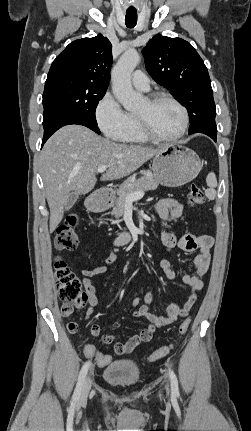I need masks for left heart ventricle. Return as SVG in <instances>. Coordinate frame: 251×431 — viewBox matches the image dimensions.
I'll list each match as a JSON object with an SVG mask.
<instances>
[{"mask_svg":"<svg viewBox=\"0 0 251 431\" xmlns=\"http://www.w3.org/2000/svg\"><path fill=\"white\" fill-rule=\"evenodd\" d=\"M136 115L145 117L151 128L163 137L177 134L182 126L183 118L180 109L168 101H162L155 105H150L148 101H145Z\"/></svg>","mask_w":251,"mask_h":431,"instance_id":"b2bd125f","label":"left heart ventricle"}]
</instances>
